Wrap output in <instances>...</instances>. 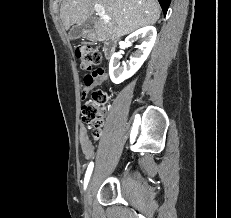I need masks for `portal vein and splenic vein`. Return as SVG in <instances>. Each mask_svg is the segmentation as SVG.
<instances>
[{"mask_svg": "<svg viewBox=\"0 0 231 218\" xmlns=\"http://www.w3.org/2000/svg\"><path fill=\"white\" fill-rule=\"evenodd\" d=\"M94 8L99 13L100 16H102L103 18L109 19V17L105 15V11L102 5L95 4Z\"/></svg>", "mask_w": 231, "mask_h": 218, "instance_id": "18ae733b", "label": "portal vein and splenic vein"}]
</instances>
